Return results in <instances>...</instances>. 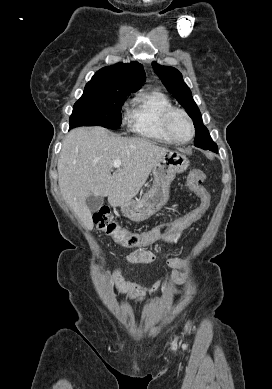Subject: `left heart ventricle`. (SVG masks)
<instances>
[{
  "instance_id": "left-heart-ventricle-1",
  "label": "left heart ventricle",
  "mask_w": 272,
  "mask_h": 389,
  "mask_svg": "<svg viewBox=\"0 0 272 389\" xmlns=\"http://www.w3.org/2000/svg\"><path fill=\"white\" fill-rule=\"evenodd\" d=\"M170 126L173 134L181 140H186L191 135V128L187 119L180 113L172 116Z\"/></svg>"
}]
</instances>
